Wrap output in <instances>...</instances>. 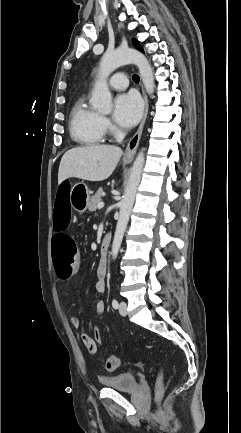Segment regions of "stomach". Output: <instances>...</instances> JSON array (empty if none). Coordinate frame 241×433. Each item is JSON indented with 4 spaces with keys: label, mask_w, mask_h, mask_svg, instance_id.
Here are the masks:
<instances>
[{
    "label": "stomach",
    "mask_w": 241,
    "mask_h": 433,
    "mask_svg": "<svg viewBox=\"0 0 241 433\" xmlns=\"http://www.w3.org/2000/svg\"><path fill=\"white\" fill-rule=\"evenodd\" d=\"M126 163H128L126 161ZM71 207L79 212L84 213L88 208V203L90 201V194L88 187L82 183H76L71 188Z\"/></svg>",
    "instance_id": "obj_1"
}]
</instances>
